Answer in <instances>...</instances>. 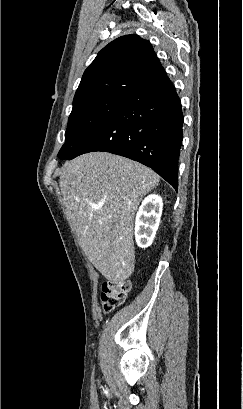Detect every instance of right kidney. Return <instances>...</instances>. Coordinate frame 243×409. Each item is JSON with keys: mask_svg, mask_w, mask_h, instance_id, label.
Here are the masks:
<instances>
[{"mask_svg": "<svg viewBox=\"0 0 243 409\" xmlns=\"http://www.w3.org/2000/svg\"><path fill=\"white\" fill-rule=\"evenodd\" d=\"M162 198L156 194L147 196L136 214L135 239L141 248L149 247L155 237L162 215Z\"/></svg>", "mask_w": 243, "mask_h": 409, "instance_id": "obj_1", "label": "right kidney"}]
</instances>
